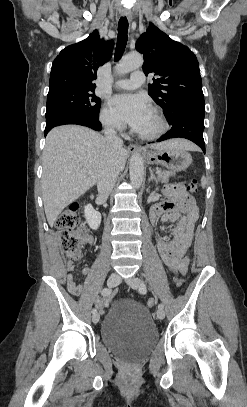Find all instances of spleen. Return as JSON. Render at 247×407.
<instances>
[{"instance_id":"3e777b00","label":"spleen","mask_w":247,"mask_h":407,"mask_svg":"<svg viewBox=\"0 0 247 407\" xmlns=\"http://www.w3.org/2000/svg\"><path fill=\"white\" fill-rule=\"evenodd\" d=\"M201 185L202 187L206 186V178L204 176L201 178Z\"/></svg>"}]
</instances>
